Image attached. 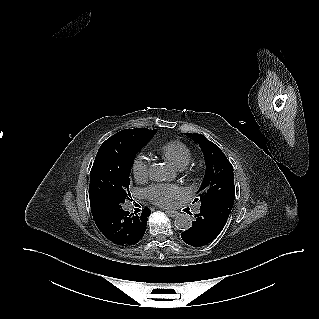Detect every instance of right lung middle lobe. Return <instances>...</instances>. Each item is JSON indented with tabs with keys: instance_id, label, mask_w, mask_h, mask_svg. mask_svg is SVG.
<instances>
[{
	"instance_id": "1",
	"label": "right lung middle lobe",
	"mask_w": 319,
	"mask_h": 319,
	"mask_svg": "<svg viewBox=\"0 0 319 319\" xmlns=\"http://www.w3.org/2000/svg\"><path fill=\"white\" fill-rule=\"evenodd\" d=\"M155 133L156 129L148 139L140 141L120 131L100 146L90 172L91 206L101 201L123 203L129 199L130 172L135 155Z\"/></svg>"
}]
</instances>
